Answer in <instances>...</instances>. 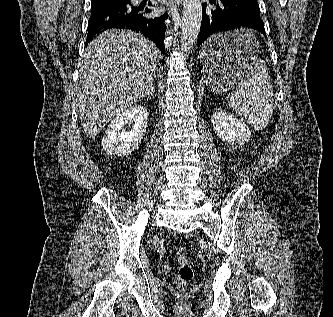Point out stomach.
<instances>
[{
  "mask_svg": "<svg viewBox=\"0 0 333 317\" xmlns=\"http://www.w3.org/2000/svg\"><path fill=\"white\" fill-rule=\"evenodd\" d=\"M200 49V62H206L200 88L213 93H224L247 81V74H258V41L253 29H220V33H208Z\"/></svg>",
  "mask_w": 333,
  "mask_h": 317,
  "instance_id": "obj_1",
  "label": "stomach"
}]
</instances>
